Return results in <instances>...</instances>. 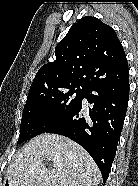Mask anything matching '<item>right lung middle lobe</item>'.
<instances>
[{
    "instance_id": "right-lung-middle-lobe-1",
    "label": "right lung middle lobe",
    "mask_w": 138,
    "mask_h": 186,
    "mask_svg": "<svg viewBox=\"0 0 138 186\" xmlns=\"http://www.w3.org/2000/svg\"><path fill=\"white\" fill-rule=\"evenodd\" d=\"M86 88L68 85L29 93L24 106L17 143L45 133L65 118L83 99Z\"/></svg>"
}]
</instances>
